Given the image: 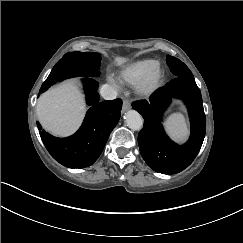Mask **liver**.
<instances>
[{
    "label": "liver",
    "mask_w": 243,
    "mask_h": 243,
    "mask_svg": "<svg viewBox=\"0 0 243 243\" xmlns=\"http://www.w3.org/2000/svg\"><path fill=\"white\" fill-rule=\"evenodd\" d=\"M127 62L116 57L118 66ZM38 120L43 128L55 136L66 137L73 134L85 116L84 96L74 80H67L43 93L36 105Z\"/></svg>",
    "instance_id": "liver-1"
}]
</instances>
